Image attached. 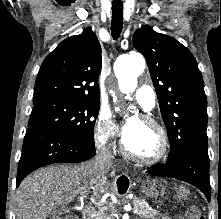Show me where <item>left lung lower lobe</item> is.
Returning a JSON list of instances; mask_svg holds the SVG:
<instances>
[{
    "instance_id": "1",
    "label": "left lung lower lobe",
    "mask_w": 221,
    "mask_h": 219,
    "mask_svg": "<svg viewBox=\"0 0 221 219\" xmlns=\"http://www.w3.org/2000/svg\"><path fill=\"white\" fill-rule=\"evenodd\" d=\"M147 173L188 182L200 189L210 201L211 187L207 145H192L176 158H168L165 164L148 169Z\"/></svg>"
}]
</instances>
